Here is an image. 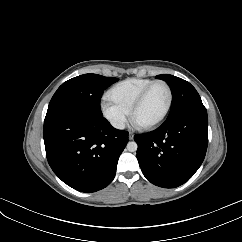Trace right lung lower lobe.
<instances>
[{
  "instance_id": "right-lung-lower-lobe-1",
  "label": "right lung lower lobe",
  "mask_w": 242,
  "mask_h": 242,
  "mask_svg": "<svg viewBox=\"0 0 242 242\" xmlns=\"http://www.w3.org/2000/svg\"><path fill=\"white\" fill-rule=\"evenodd\" d=\"M44 143L54 173L68 186L95 192L115 177L128 132L113 128L102 116L64 112L45 118Z\"/></svg>"
}]
</instances>
